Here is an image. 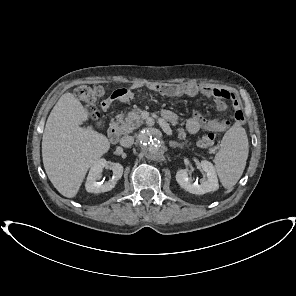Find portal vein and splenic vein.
<instances>
[{
	"instance_id": "portal-vein-and-splenic-vein-1",
	"label": "portal vein and splenic vein",
	"mask_w": 296,
	"mask_h": 296,
	"mask_svg": "<svg viewBox=\"0 0 296 296\" xmlns=\"http://www.w3.org/2000/svg\"><path fill=\"white\" fill-rule=\"evenodd\" d=\"M161 127L167 135H172V129L165 121L161 122Z\"/></svg>"
}]
</instances>
